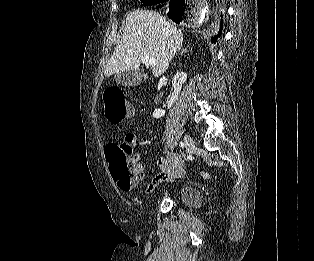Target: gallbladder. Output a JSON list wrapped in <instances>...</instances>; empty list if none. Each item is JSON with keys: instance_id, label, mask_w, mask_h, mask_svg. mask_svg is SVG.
Returning a JSON list of instances; mask_svg holds the SVG:
<instances>
[{"instance_id": "gallbladder-1", "label": "gallbladder", "mask_w": 314, "mask_h": 261, "mask_svg": "<svg viewBox=\"0 0 314 261\" xmlns=\"http://www.w3.org/2000/svg\"><path fill=\"white\" fill-rule=\"evenodd\" d=\"M116 83L122 86H136L140 84L142 80V74L140 71L126 70L123 72L116 73L114 76Z\"/></svg>"}]
</instances>
